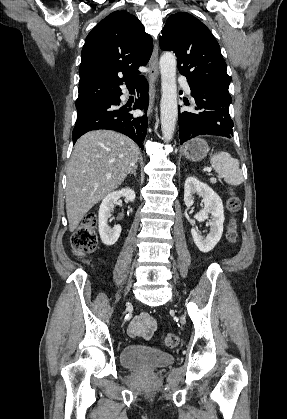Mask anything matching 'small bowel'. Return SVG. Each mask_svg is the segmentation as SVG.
Wrapping results in <instances>:
<instances>
[{
    "mask_svg": "<svg viewBox=\"0 0 287 419\" xmlns=\"http://www.w3.org/2000/svg\"><path fill=\"white\" fill-rule=\"evenodd\" d=\"M156 329L155 319L147 312L136 315L128 326V333L131 337L150 339Z\"/></svg>",
    "mask_w": 287,
    "mask_h": 419,
    "instance_id": "1",
    "label": "small bowel"
}]
</instances>
